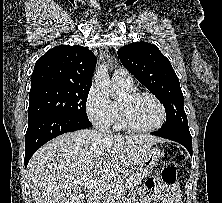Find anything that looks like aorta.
<instances>
[{
    "mask_svg": "<svg viewBox=\"0 0 222 203\" xmlns=\"http://www.w3.org/2000/svg\"><path fill=\"white\" fill-rule=\"evenodd\" d=\"M95 81L101 91L107 96H116L119 93V88L110 79L106 65H100L95 74Z\"/></svg>",
    "mask_w": 222,
    "mask_h": 203,
    "instance_id": "obj_1",
    "label": "aorta"
}]
</instances>
